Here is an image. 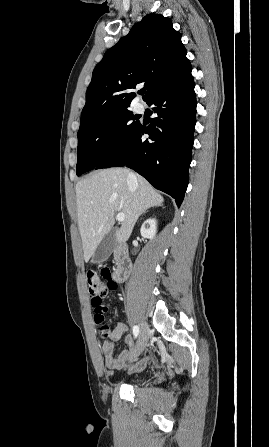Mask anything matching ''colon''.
I'll list each match as a JSON object with an SVG mask.
<instances>
[{
  "mask_svg": "<svg viewBox=\"0 0 269 447\" xmlns=\"http://www.w3.org/2000/svg\"><path fill=\"white\" fill-rule=\"evenodd\" d=\"M101 267H106L105 263L100 262L97 268L94 266L89 267L86 273V281L88 293L90 295L89 301L92 306L96 307V311L93 312L92 317L99 324V331L97 332V337L99 339H113L115 337V332L110 330V323L104 322V313L107 312V308L101 305V297H105L111 291L112 281L109 279H104L99 274V269Z\"/></svg>",
  "mask_w": 269,
  "mask_h": 447,
  "instance_id": "1",
  "label": "colon"
}]
</instances>
